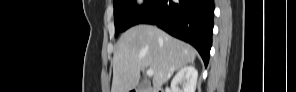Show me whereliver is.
<instances>
[{
	"label": "liver",
	"instance_id": "liver-1",
	"mask_svg": "<svg viewBox=\"0 0 296 92\" xmlns=\"http://www.w3.org/2000/svg\"><path fill=\"white\" fill-rule=\"evenodd\" d=\"M196 50L151 25H137L125 31L113 57L111 92H130L144 68L154 71L153 88L160 90L174 71L193 63Z\"/></svg>",
	"mask_w": 296,
	"mask_h": 92
}]
</instances>
